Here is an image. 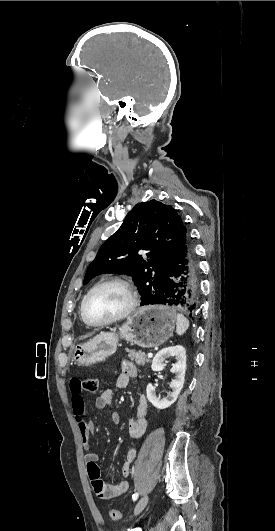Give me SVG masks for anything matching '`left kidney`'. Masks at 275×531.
<instances>
[{
	"instance_id": "5707ae66",
	"label": "left kidney",
	"mask_w": 275,
	"mask_h": 531,
	"mask_svg": "<svg viewBox=\"0 0 275 531\" xmlns=\"http://www.w3.org/2000/svg\"><path fill=\"white\" fill-rule=\"evenodd\" d=\"M167 357H176L177 363L173 365L170 369L171 373H175L176 379L171 381L169 387L173 389L172 393H168L166 399H159L156 397L155 387L152 383L147 385L146 393L147 399L156 407V409H167L170 405H173L177 401L184 385L185 371H186V351L181 345H176V347H166V349H161L157 355H155L151 369L152 371H163L165 365L163 361Z\"/></svg>"
}]
</instances>
